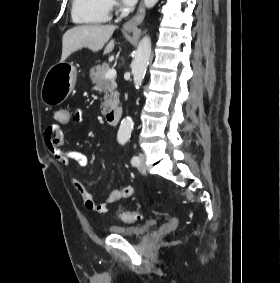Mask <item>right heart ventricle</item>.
Instances as JSON below:
<instances>
[{
  "label": "right heart ventricle",
  "mask_w": 280,
  "mask_h": 283,
  "mask_svg": "<svg viewBox=\"0 0 280 283\" xmlns=\"http://www.w3.org/2000/svg\"><path fill=\"white\" fill-rule=\"evenodd\" d=\"M71 17L77 24H102L110 18L108 0H72Z\"/></svg>",
  "instance_id": "right-heart-ventricle-1"
}]
</instances>
